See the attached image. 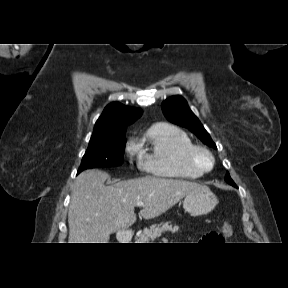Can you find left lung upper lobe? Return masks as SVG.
<instances>
[{
  "mask_svg": "<svg viewBox=\"0 0 288 288\" xmlns=\"http://www.w3.org/2000/svg\"><path fill=\"white\" fill-rule=\"evenodd\" d=\"M162 110L166 118L177 125L186 127L193 132L203 143L216 149L215 143L204 129L199 119L190 110L186 100L181 96H172L162 103ZM227 183H233L229 173L225 176Z\"/></svg>",
  "mask_w": 288,
  "mask_h": 288,
  "instance_id": "5c2ea615",
  "label": "left lung upper lobe"
}]
</instances>
